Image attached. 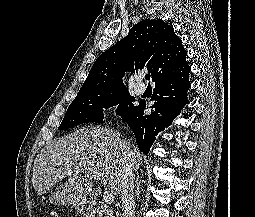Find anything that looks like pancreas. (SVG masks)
Segmentation results:
<instances>
[{
    "instance_id": "pancreas-1",
    "label": "pancreas",
    "mask_w": 255,
    "mask_h": 217,
    "mask_svg": "<svg viewBox=\"0 0 255 217\" xmlns=\"http://www.w3.org/2000/svg\"><path fill=\"white\" fill-rule=\"evenodd\" d=\"M96 212L99 217H115L113 212L106 206H101Z\"/></svg>"
}]
</instances>
